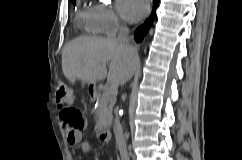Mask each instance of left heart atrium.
<instances>
[{"label":"left heart atrium","mask_w":242,"mask_h":160,"mask_svg":"<svg viewBox=\"0 0 242 160\" xmlns=\"http://www.w3.org/2000/svg\"><path fill=\"white\" fill-rule=\"evenodd\" d=\"M116 6L124 20L134 23L146 15L149 9V0H117Z\"/></svg>","instance_id":"obj_1"}]
</instances>
